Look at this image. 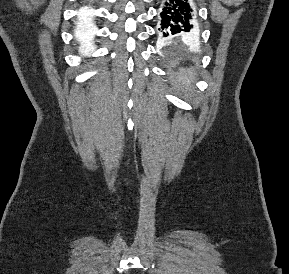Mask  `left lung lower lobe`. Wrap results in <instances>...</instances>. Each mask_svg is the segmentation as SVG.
<instances>
[{
  "mask_svg": "<svg viewBox=\"0 0 289 274\" xmlns=\"http://www.w3.org/2000/svg\"><path fill=\"white\" fill-rule=\"evenodd\" d=\"M160 38L177 42L196 35L195 15L189 0H166L160 13Z\"/></svg>",
  "mask_w": 289,
  "mask_h": 274,
  "instance_id": "0a47b994",
  "label": "left lung lower lobe"
}]
</instances>
